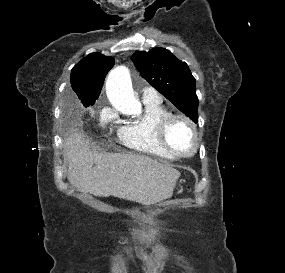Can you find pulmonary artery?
Listing matches in <instances>:
<instances>
[{"instance_id":"1","label":"pulmonary artery","mask_w":285,"mask_h":273,"mask_svg":"<svg viewBox=\"0 0 285 273\" xmlns=\"http://www.w3.org/2000/svg\"><path fill=\"white\" fill-rule=\"evenodd\" d=\"M160 100H161L160 95L152 87H145L143 89V102H154Z\"/></svg>"}]
</instances>
